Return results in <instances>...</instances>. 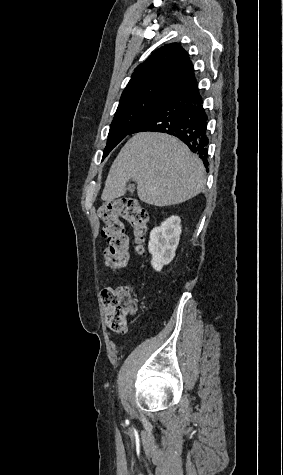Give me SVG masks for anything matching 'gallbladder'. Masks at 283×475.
<instances>
[{"label": "gallbladder", "mask_w": 283, "mask_h": 475, "mask_svg": "<svg viewBox=\"0 0 283 475\" xmlns=\"http://www.w3.org/2000/svg\"><path fill=\"white\" fill-rule=\"evenodd\" d=\"M127 190H128V192H134V190H135V184H129Z\"/></svg>", "instance_id": "1"}]
</instances>
